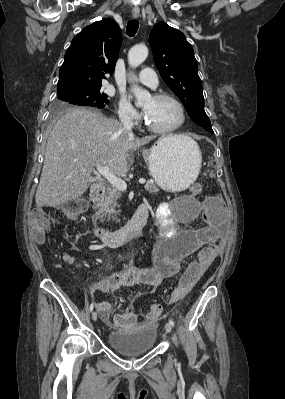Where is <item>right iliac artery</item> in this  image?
<instances>
[{"mask_svg":"<svg viewBox=\"0 0 285 399\" xmlns=\"http://www.w3.org/2000/svg\"><path fill=\"white\" fill-rule=\"evenodd\" d=\"M93 308H94V302H92V303L90 304V311H91V312L93 311Z\"/></svg>","mask_w":285,"mask_h":399,"instance_id":"82829eb1","label":"right iliac artery"}]
</instances>
